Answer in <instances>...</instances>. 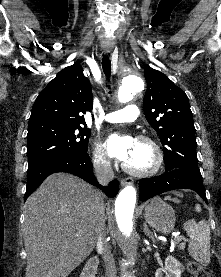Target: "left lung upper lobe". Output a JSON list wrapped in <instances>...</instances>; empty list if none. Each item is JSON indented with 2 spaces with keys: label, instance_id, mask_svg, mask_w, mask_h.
<instances>
[{
  "label": "left lung upper lobe",
  "instance_id": "5c2ea615",
  "mask_svg": "<svg viewBox=\"0 0 221 277\" xmlns=\"http://www.w3.org/2000/svg\"><path fill=\"white\" fill-rule=\"evenodd\" d=\"M144 75L147 82L144 113L164 145L165 171L187 169L201 175L193 115L186 93L165 74L149 66L145 67Z\"/></svg>",
  "mask_w": 221,
  "mask_h": 277
}]
</instances>
